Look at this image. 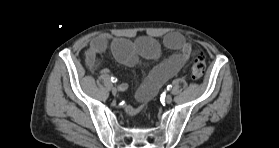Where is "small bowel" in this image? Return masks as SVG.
<instances>
[{
    "label": "small bowel",
    "mask_w": 279,
    "mask_h": 148,
    "mask_svg": "<svg viewBox=\"0 0 279 148\" xmlns=\"http://www.w3.org/2000/svg\"><path fill=\"white\" fill-rule=\"evenodd\" d=\"M165 47L175 51L174 54L158 63L149 73L142 86L136 91L135 97L141 106L127 107L130 115L137 114L143 106L157 93L160 87L194 57V49L185 37L178 32H171L164 36ZM111 45L117 60L127 66H135L140 60L153 61L161 55V47L153 38L143 37L135 42L126 39L113 38L110 34L102 33L96 36L84 55L85 66L92 72L99 71L98 57ZM101 72L107 73V69Z\"/></svg>",
    "instance_id": "obj_1"
}]
</instances>
